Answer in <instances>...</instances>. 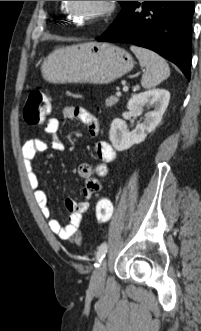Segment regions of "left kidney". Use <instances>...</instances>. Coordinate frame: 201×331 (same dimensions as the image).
I'll return each instance as SVG.
<instances>
[{
	"instance_id": "5707ae66",
	"label": "left kidney",
	"mask_w": 201,
	"mask_h": 331,
	"mask_svg": "<svg viewBox=\"0 0 201 331\" xmlns=\"http://www.w3.org/2000/svg\"><path fill=\"white\" fill-rule=\"evenodd\" d=\"M170 93L165 89H153L135 94L127 103V109L134 114H141L144 108L153 107L145 115L144 122L138 123L133 131L127 129L125 121L116 118L111 123L109 138L118 151L129 149L134 144L143 142L148 133L152 132L161 122L167 109Z\"/></svg>"
}]
</instances>
